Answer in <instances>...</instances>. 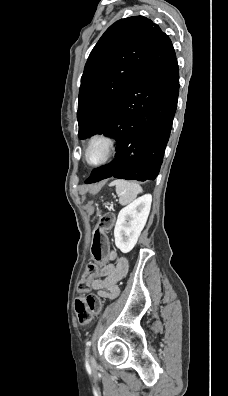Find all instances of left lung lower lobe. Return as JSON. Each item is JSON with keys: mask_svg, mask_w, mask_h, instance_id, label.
<instances>
[{"mask_svg": "<svg viewBox=\"0 0 228 396\" xmlns=\"http://www.w3.org/2000/svg\"><path fill=\"white\" fill-rule=\"evenodd\" d=\"M179 72L174 48L161 32L143 67L114 110L104 135L116 139V159L85 183L109 177L154 180L159 174L177 107Z\"/></svg>", "mask_w": 228, "mask_h": 396, "instance_id": "obj_1", "label": "left lung lower lobe"}]
</instances>
